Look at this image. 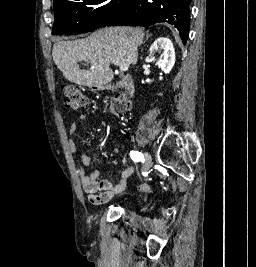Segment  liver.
Instances as JSON below:
<instances>
[{
    "instance_id": "1",
    "label": "liver",
    "mask_w": 256,
    "mask_h": 267,
    "mask_svg": "<svg viewBox=\"0 0 256 267\" xmlns=\"http://www.w3.org/2000/svg\"><path fill=\"white\" fill-rule=\"evenodd\" d=\"M142 28H101L85 40L57 42L53 46L52 58L66 80L79 86H105L113 80L111 64L122 60L136 64L138 48L143 44ZM77 62H88L90 70H80Z\"/></svg>"
}]
</instances>
